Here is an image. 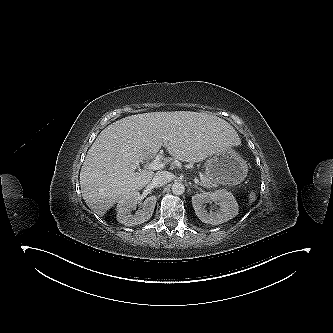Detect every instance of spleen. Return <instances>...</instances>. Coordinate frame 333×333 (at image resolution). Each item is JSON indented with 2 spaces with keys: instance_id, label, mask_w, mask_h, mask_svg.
<instances>
[{
  "instance_id": "spleen-1",
  "label": "spleen",
  "mask_w": 333,
  "mask_h": 333,
  "mask_svg": "<svg viewBox=\"0 0 333 333\" xmlns=\"http://www.w3.org/2000/svg\"><path fill=\"white\" fill-rule=\"evenodd\" d=\"M248 197H249V203L248 204L251 205L256 200V193L251 192Z\"/></svg>"
}]
</instances>
